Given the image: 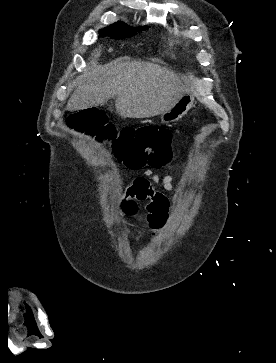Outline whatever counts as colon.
Masks as SVG:
<instances>
[{
	"instance_id": "1",
	"label": "colon",
	"mask_w": 276,
	"mask_h": 363,
	"mask_svg": "<svg viewBox=\"0 0 276 363\" xmlns=\"http://www.w3.org/2000/svg\"><path fill=\"white\" fill-rule=\"evenodd\" d=\"M71 128L80 133L100 131L101 135L116 138L117 155L132 169L149 166L160 168L172 158V134L167 129L141 127L123 128L117 131L106 124L103 114L88 108L68 117ZM166 220V212L159 218L150 217V226L160 228Z\"/></svg>"
}]
</instances>
